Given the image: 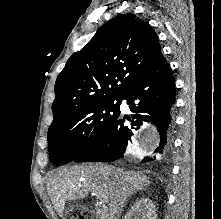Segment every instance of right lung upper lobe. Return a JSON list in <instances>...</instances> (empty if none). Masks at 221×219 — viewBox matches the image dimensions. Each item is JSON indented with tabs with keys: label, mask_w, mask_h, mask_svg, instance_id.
Returning a JSON list of instances; mask_svg holds the SVG:
<instances>
[{
	"label": "right lung upper lobe",
	"mask_w": 221,
	"mask_h": 219,
	"mask_svg": "<svg viewBox=\"0 0 221 219\" xmlns=\"http://www.w3.org/2000/svg\"><path fill=\"white\" fill-rule=\"evenodd\" d=\"M161 56L158 37L147 21L131 13L109 20L57 77L53 122L82 105L120 99Z\"/></svg>",
	"instance_id": "obj_1"
}]
</instances>
